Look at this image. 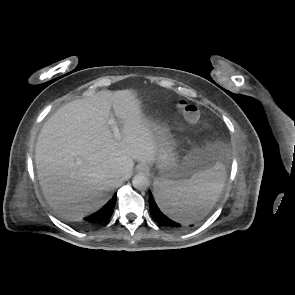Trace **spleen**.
Listing matches in <instances>:
<instances>
[{"mask_svg": "<svg viewBox=\"0 0 295 295\" xmlns=\"http://www.w3.org/2000/svg\"><path fill=\"white\" fill-rule=\"evenodd\" d=\"M225 180L226 169L221 162H217L189 179L155 180V198L166 215L180 222L195 221L203 217L217 201Z\"/></svg>", "mask_w": 295, "mask_h": 295, "instance_id": "3e777b00", "label": "spleen"}]
</instances>
